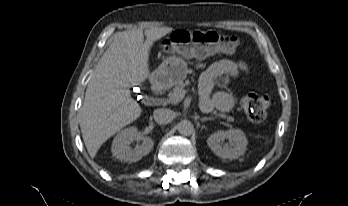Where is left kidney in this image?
Wrapping results in <instances>:
<instances>
[{
	"mask_svg": "<svg viewBox=\"0 0 348 206\" xmlns=\"http://www.w3.org/2000/svg\"><path fill=\"white\" fill-rule=\"evenodd\" d=\"M228 140L229 142H224ZM210 149L221 158L237 159L247 148L248 140L240 129L217 131L207 139Z\"/></svg>",
	"mask_w": 348,
	"mask_h": 206,
	"instance_id": "obj_1",
	"label": "left kidney"
}]
</instances>
